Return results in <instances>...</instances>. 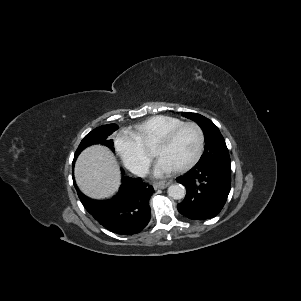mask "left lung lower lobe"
Returning a JSON list of instances; mask_svg holds the SVG:
<instances>
[{
  "label": "left lung lower lobe",
  "mask_w": 301,
  "mask_h": 301,
  "mask_svg": "<svg viewBox=\"0 0 301 301\" xmlns=\"http://www.w3.org/2000/svg\"><path fill=\"white\" fill-rule=\"evenodd\" d=\"M186 187L185 199L178 211L192 220H206L219 214L231 189V165L220 162L196 164L178 177Z\"/></svg>",
  "instance_id": "left-lung-lower-lobe-1"
}]
</instances>
